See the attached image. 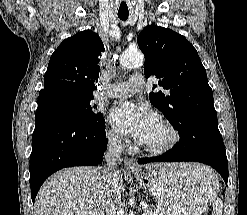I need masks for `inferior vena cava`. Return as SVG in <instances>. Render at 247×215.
Segmentation results:
<instances>
[{"mask_svg": "<svg viewBox=\"0 0 247 215\" xmlns=\"http://www.w3.org/2000/svg\"><path fill=\"white\" fill-rule=\"evenodd\" d=\"M123 145L118 138H109L107 152L105 153V166L102 167V178L104 181L115 185L118 183L119 172L117 171V164L121 158ZM114 209V205L111 206ZM114 211L111 212V215Z\"/></svg>", "mask_w": 247, "mask_h": 215, "instance_id": "obj_1", "label": "inferior vena cava"}]
</instances>
